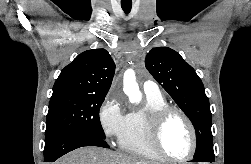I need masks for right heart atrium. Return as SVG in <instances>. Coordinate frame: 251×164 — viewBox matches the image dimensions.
Here are the masks:
<instances>
[{
	"instance_id": "d8ad5b80",
	"label": "right heart atrium",
	"mask_w": 251,
	"mask_h": 164,
	"mask_svg": "<svg viewBox=\"0 0 251 164\" xmlns=\"http://www.w3.org/2000/svg\"><path fill=\"white\" fill-rule=\"evenodd\" d=\"M127 114L122 102L115 97H108L99 110L101 129L109 140L119 139L125 126Z\"/></svg>"
}]
</instances>
